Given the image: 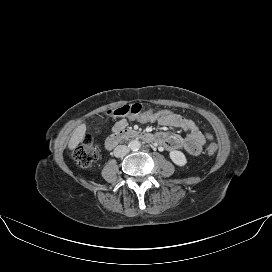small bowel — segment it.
<instances>
[{
  "mask_svg": "<svg viewBox=\"0 0 272 272\" xmlns=\"http://www.w3.org/2000/svg\"><path fill=\"white\" fill-rule=\"evenodd\" d=\"M157 122L163 127H176L186 132V136L176 133H158L156 138L167 150L184 149L190 155L197 156L202 152L203 145L207 140L212 139V135L202 132L196 124L189 118L178 114H170L160 117ZM127 121L122 119L115 124L114 129L126 127Z\"/></svg>",
  "mask_w": 272,
  "mask_h": 272,
  "instance_id": "1",
  "label": "small bowel"
}]
</instances>
